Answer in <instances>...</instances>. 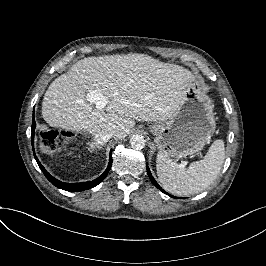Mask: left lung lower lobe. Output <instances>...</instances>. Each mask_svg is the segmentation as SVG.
<instances>
[{
	"instance_id": "0a47b994",
	"label": "left lung lower lobe",
	"mask_w": 266,
	"mask_h": 266,
	"mask_svg": "<svg viewBox=\"0 0 266 266\" xmlns=\"http://www.w3.org/2000/svg\"><path fill=\"white\" fill-rule=\"evenodd\" d=\"M146 169H147V172H148V175H149V178H150V180H151V182L153 183V185H155L158 189H160L163 193H165V194H167L158 184H157V182L155 181V179L153 178V176H152V174H151V172H150V169H149V167L148 166H146ZM168 195V194H167ZM171 197H173L172 195H171Z\"/></svg>"
}]
</instances>
